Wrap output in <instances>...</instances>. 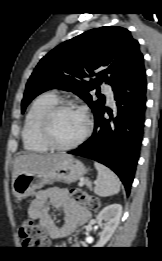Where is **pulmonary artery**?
<instances>
[{
	"mask_svg": "<svg viewBox=\"0 0 162 261\" xmlns=\"http://www.w3.org/2000/svg\"><path fill=\"white\" fill-rule=\"evenodd\" d=\"M103 92H104V94L106 95V97L109 101L114 100V94H113V91H112V89L109 85H106V84L103 85Z\"/></svg>",
	"mask_w": 162,
	"mask_h": 261,
	"instance_id": "pulmonary-artery-1",
	"label": "pulmonary artery"
}]
</instances>
